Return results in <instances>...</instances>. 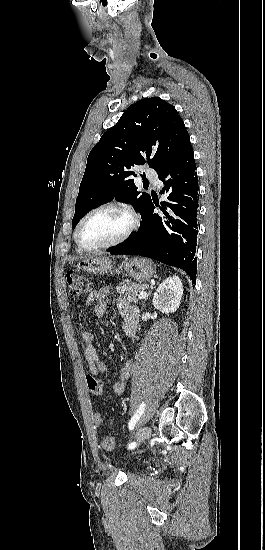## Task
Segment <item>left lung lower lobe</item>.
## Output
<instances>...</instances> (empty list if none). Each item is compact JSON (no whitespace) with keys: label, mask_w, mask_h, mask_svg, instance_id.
Segmentation results:
<instances>
[{"label":"left lung lower lobe","mask_w":265,"mask_h":550,"mask_svg":"<svg viewBox=\"0 0 265 550\" xmlns=\"http://www.w3.org/2000/svg\"><path fill=\"white\" fill-rule=\"evenodd\" d=\"M163 182L161 194L169 202L162 204L160 217L153 213L151 201L140 229L122 245L109 248L112 255H141L183 269L196 282L198 182L190 141L158 173Z\"/></svg>","instance_id":"1"}]
</instances>
